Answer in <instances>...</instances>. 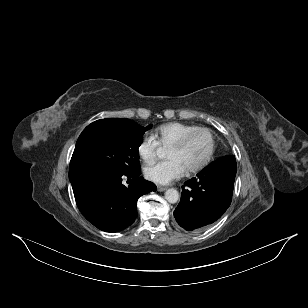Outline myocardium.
<instances>
[{
  "label": "myocardium",
  "mask_w": 308,
  "mask_h": 308,
  "mask_svg": "<svg viewBox=\"0 0 308 308\" xmlns=\"http://www.w3.org/2000/svg\"><path fill=\"white\" fill-rule=\"evenodd\" d=\"M200 132H205L209 135L210 140H211L210 149H209V152L207 153L206 157L198 165L186 170L187 174H194V173L200 172L209 165V163L211 162V160L214 156L215 150H216L215 134L209 128L198 127L196 129H193V130L185 133L180 139H178L176 142H174L173 144H171L169 146L171 148L181 149L189 142V140L194 135H196L197 133H200Z\"/></svg>",
  "instance_id": "f54148a6"
}]
</instances>
